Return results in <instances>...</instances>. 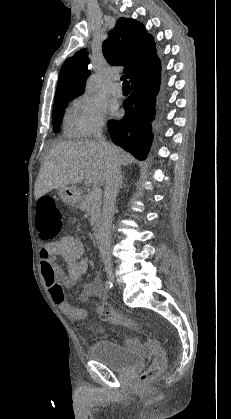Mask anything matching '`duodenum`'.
<instances>
[{"label": "duodenum", "instance_id": "duodenum-1", "mask_svg": "<svg viewBox=\"0 0 231 419\" xmlns=\"http://www.w3.org/2000/svg\"><path fill=\"white\" fill-rule=\"evenodd\" d=\"M93 235L96 240H99L101 238V227L98 223H95L93 226Z\"/></svg>", "mask_w": 231, "mask_h": 419}]
</instances>
